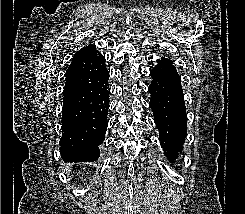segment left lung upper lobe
<instances>
[{
	"label": "left lung upper lobe",
	"instance_id": "obj_1",
	"mask_svg": "<svg viewBox=\"0 0 245 214\" xmlns=\"http://www.w3.org/2000/svg\"><path fill=\"white\" fill-rule=\"evenodd\" d=\"M158 63L159 64H164V65H171V66H173L172 65V61L171 60H169V59H165L164 57H162L160 60H158Z\"/></svg>",
	"mask_w": 245,
	"mask_h": 214
}]
</instances>
